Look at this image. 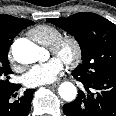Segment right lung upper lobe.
<instances>
[{
  "label": "right lung upper lobe",
  "instance_id": "1",
  "mask_svg": "<svg viewBox=\"0 0 116 116\" xmlns=\"http://www.w3.org/2000/svg\"><path fill=\"white\" fill-rule=\"evenodd\" d=\"M28 21L0 14V40H12L22 29L27 27Z\"/></svg>",
  "mask_w": 116,
  "mask_h": 116
}]
</instances>
